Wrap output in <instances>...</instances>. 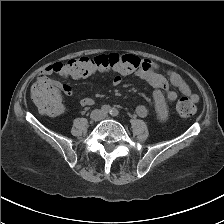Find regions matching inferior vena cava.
I'll list each match as a JSON object with an SVG mask.
<instances>
[{
	"mask_svg": "<svg viewBox=\"0 0 224 224\" xmlns=\"http://www.w3.org/2000/svg\"><path fill=\"white\" fill-rule=\"evenodd\" d=\"M104 117H105V115H104V114H101V115L98 117V120L103 119Z\"/></svg>",
	"mask_w": 224,
	"mask_h": 224,
	"instance_id": "1",
	"label": "inferior vena cava"
}]
</instances>
